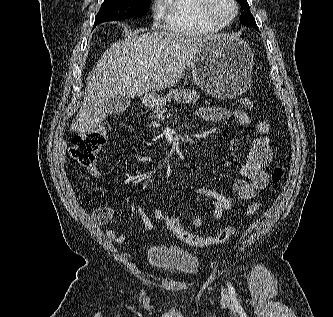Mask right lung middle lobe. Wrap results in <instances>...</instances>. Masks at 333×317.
<instances>
[{
	"mask_svg": "<svg viewBox=\"0 0 333 317\" xmlns=\"http://www.w3.org/2000/svg\"><path fill=\"white\" fill-rule=\"evenodd\" d=\"M151 0H104L96 15L94 26L125 18L142 16L148 9Z\"/></svg>",
	"mask_w": 333,
	"mask_h": 317,
	"instance_id": "right-lung-middle-lobe-1",
	"label": "right lung middle lobe"
}]
</instances>
